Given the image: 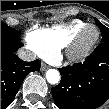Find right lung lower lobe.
<instances>
[{
  "label": "right lung lower lobe",
  "mask_w": 109,
  "mask_h": 109,
  "mask_svg": "<svg viewBox=\"0 0 109 109\" xmlns=\"http://www.w3.org/2000/svg\"><path fill=\"white\" fill-rule=\"evenodd\" d=\"M22 45L1 35V109L12 103L25 77L41 66L40 60L25 62L16 56Z\"/></svg>",
  "instance_id": "obj_1"
}]
</instances>
